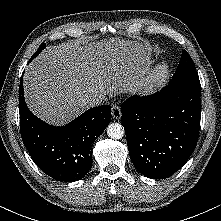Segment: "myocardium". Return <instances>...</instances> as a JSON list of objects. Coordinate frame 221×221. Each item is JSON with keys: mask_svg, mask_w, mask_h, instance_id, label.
<instances>
[{"mask_svg": "<svg viewBox=\"0 0 221 221\" xmlns=\"http://www.w3.org/2000/svg\"><path fill=\"white\" fill-rule=\"evenodd\" d=\"M169 67L167 62H160L155 69L140 83L137 91L142 97L155 95L166 82Z\"/></svg>", "mask_w": 221, "mask_h": 221, "instance_id": "f54148a6", "label": "myocardium"}]
</instances>
